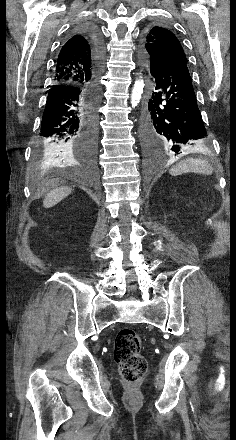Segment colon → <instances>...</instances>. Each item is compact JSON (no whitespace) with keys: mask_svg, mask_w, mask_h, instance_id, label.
Here are the masks:
<instances>
[{"mask_svg":"<svg viewBox=\"0 0 236 440\" xmlns=\"http://www.w3.org/2000/svg\"><path fill=\"white\" fill-rule=\"evenodd\" d=\"M114 356L124 380L135 382L145 375L147 362L141 354V338L135 330L123 328L118 332Z\"/></svg>","mask_w":236,"mask_h":440,"instance_id":"5ec220e1","label":"colon"}]
</instances>
